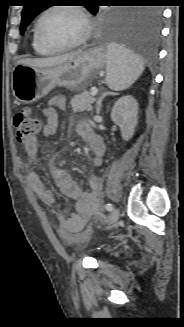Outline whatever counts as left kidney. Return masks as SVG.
Segmentation results:
<instances>
[{
  "label": "left kidney",
  "instance_id": "1",
  "mask_svg": "<svg viewBox=\"0 0 184 327\" xmlns=\"http://www.w3.org/2000/svg\"><path fill=\"white\" fill-rule=\"evenodd\" d=\"M137 115L138 103L131 95L121 97L112 109L111 119L120 127L122 138L126 141L134 135Z\"/></svg>",
  "mask_w": 184,
  "mask_h": 327
}]
</instances>
